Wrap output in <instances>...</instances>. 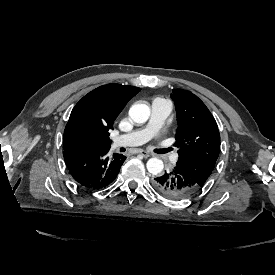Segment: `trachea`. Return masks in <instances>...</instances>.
<instances>
[{
	"instance_id": "obj_1",
	"label": "trachea",
	"mask_w": 275,
	"mask_h": 275,
	"mask_svg": "<svg viewBox=\"0 0 275 275\" xmlns=\"http://www.w3.org/2000/svg\"><path fill=\"white\" fill-rule=\"evenodd\" d=\"M171 150H172L171 148L159 149V150H158V153H159V154H164V153H167V152H169V151H171Z\"/></svg>"
}]
</instances>
